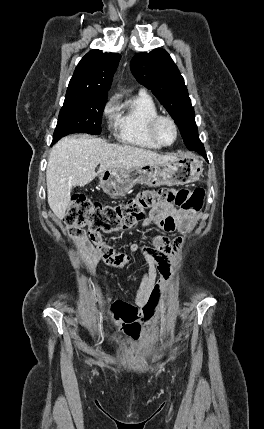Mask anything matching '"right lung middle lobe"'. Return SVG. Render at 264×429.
<instances>
[{
  "mask_svg": "<svg viewBox=\"0 0 264 429\" xmlns=\"http://www.w3.org/2000/svg\"><path fill=\"white\" fill-rule=\"evenodd\" d=\"M106 101L107 97L66 96L52 144L70 133L99 135Z\"/></svg>",
  "mask_w": 264,
  "mask_h": 429,
  "instance_id": "obj_1",
  "label": "right lung middle lobe"
}]
</instances>
